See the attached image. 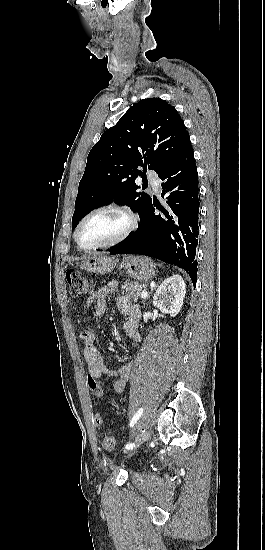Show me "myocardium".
<instances>
[{
    "instance_id": "myocardium-1",
    "label": "myocardium",
    "mask_w": 265,
    "mask_h": 550,
    "mask_svg": "<svg viewBox=\"0 0 265 550\" xmlns=\"http://www.w3.org/2000/svg\"><path fill=\"white\" fill-rule=\"evenodd\" d=\"M104 210H113V211H116V212L121 213L122 215H124L128 220L127 227L125 228V230L118 237H116L115 239H113L109 242L94 245V246H90V247L83 246L80 243L79 239H78V234H79L81 226L83 225V223L90 216H92L93 214H95L97 212L104 211ZM137 226H138V216L131 209H129L126 206L119 205V204H113V203L104 204V205H100V206L90 210L88 213H86L80 219V221L78 222V224L75 228L73 238H74V241H75L76 245L78 246V248L80 250L94 251V250H98V249H105V248L115 246V245L123 242L124 240H126L136 230Z\"/></svg>"
}]
</instances>
